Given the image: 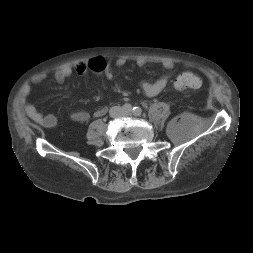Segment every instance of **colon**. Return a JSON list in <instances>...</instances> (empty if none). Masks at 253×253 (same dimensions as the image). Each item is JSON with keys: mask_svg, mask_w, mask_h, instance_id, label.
Returning <instances> with one entry per match:
<instances>
[{"mask_svg": "<svg viewBox=\"0 0 253 253\" xmlns=\"http://www.w3.org/2000/svg\"><path fill=\"white\" fill-rule=\"evenodd\" d=\"M88 66L90 71L96 74H104L106 76L108 63L103 57L91 59L88 63ZM112 78L113 75L109 79ZM174 86L181 90H198L202 87V80L196 74L184 72L175 78Z\"/></svg>", "mask_w": 253, "mask_h": 253, "instance_id": "1", "label": "colon"}]
</instances>
